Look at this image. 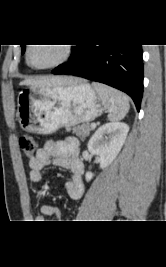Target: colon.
I'll use <instances>...</instances> for the list:
<instances>
[{"instance_id":"1","label":"colon","mask_w":166,"mask_h":267,"mask_svg":"<svg viewBox=\"0 0 166 267\" xmlns=\"http://www.w3.org/2000/svg\"><path fill=\"white\" fill-rule=\"evenodd\" d=\"M19 147L27 157H32L36 150V141L30 135H22L19 138Z\"/></svg>"}]
</instances>
